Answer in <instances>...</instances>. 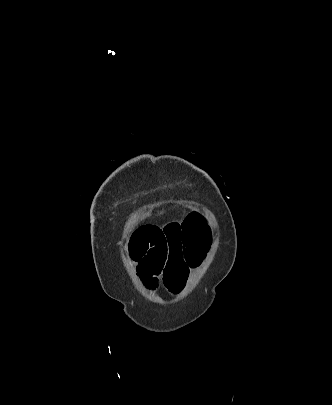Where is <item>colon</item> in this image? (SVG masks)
I'll use <instances>...</instances> for the list:
<instances>
[{
    "label": "colon",
    "instance_id": "obj_1",
    "mask_svg": "<svg viewBox=\"0 0 332 405\" xmlns=\"http://www.w3.org/2000/svg\"><path fill=\"white\" fill-rule=\"evenodd\" d=\"M196 220H183V262H202L207 257V249L210 248L211 220H201L203 213H194Z\"/></svg>",
    "mask_w": 332,
    "mask_h": 405
}]
</instances>
